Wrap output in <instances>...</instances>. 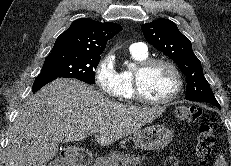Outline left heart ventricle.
I'll return each mask as SVG.
<instances>
[{"instance_id": "left-heart-ventricle-1", "label": "left heart ventricle", "mask_w": 231, "mask_h": 166, "mask_svg": "<svg viewBox=\"0 0 231 166\" xmlns=\"http://www.w3.org/2000/svg\"><path fill=\"white\" fill-rule=\"evenodd\" d=\"M176 85L172 71L163 64L149 68L141 77V87L145 96L151 99H165Z\"/></svg>"}]
</instances>
